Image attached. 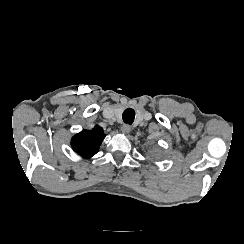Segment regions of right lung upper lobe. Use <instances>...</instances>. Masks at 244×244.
<instances>
[{
    "label": "right lung upper lobe",
    "instance_id": "cb5924a9",
    "mask_svg": "<svg viewBox=\"0 0 244 244\" xmlns=\"http://www.w3.org/2000/svg\"><path fill=\"white\" fill-rule=\"evenodd\" d=\"M105 138L103 129L96 125L92 130H82L71 141L73 150L83 158H91L95 155Z\"/></svg>",
    "mask_w": 244,
    "mask_h": 244
}]
</instances>
